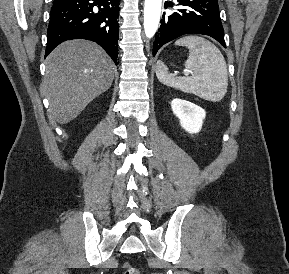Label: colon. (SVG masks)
<instances>
[{
    "mask_svg": "<svg viewBox=\"0 0 289 274\" xmlns=\"http://www.w3.org/2000/svg\"><path fill=\"white\" fill-rule=\"evenodd\" d=\"M123 268L124 274H140V271L128 262L123 264Z\"/></svg>",
    "mask_w": 289,
    "mask_h": 274,
    "instance_id": "5ec220e1",
    "label": "colon"
}]
</instances>
